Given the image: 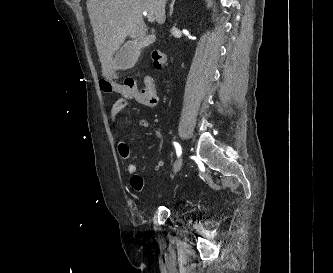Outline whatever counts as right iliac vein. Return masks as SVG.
Here are the masks:
<instances>
[{"label":"right iliac vein","mask_w":333,"mask_h":273,"mask_svg":"<svg viewBox=\"0 0 333 273\" xmlns=\"http://www.w3.org/2000/svg\"><path fill=\"white\" fill-rule=\"evenodd\" d=\"M181 167H182V158L179 157L174 165L173 169L174 173H177L181 169Z\"/></svg>","instance_id":"obj_1"}]
</instances>
